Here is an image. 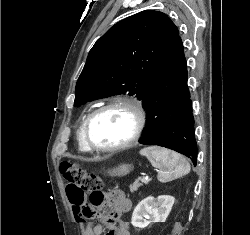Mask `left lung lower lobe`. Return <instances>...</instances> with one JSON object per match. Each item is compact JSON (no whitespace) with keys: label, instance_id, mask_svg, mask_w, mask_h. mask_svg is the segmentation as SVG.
<instances>
[{"label":"left lung lower lobe","instance_id":"obj_1","mask_svg":"<svg viewBox=\"0 0 250 235\" xmlns=\"http://www.w3.org/2000/svg\"><path fill=\"white\" fill-rule=\"evenodd\" d=\"M186 59L181 38L171 47L142 100L147 126L140 141L175 150L197 163Z\"/></svg>","mask_w":250,"mask_h":235}]
</instances>
